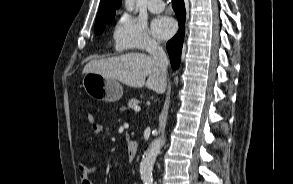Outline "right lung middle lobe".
I'll return each instance as SVG.
<instances>
[{
  "label": "right lung middle lobe",
  "instance_id": "obj_1",
  "mask_svg": "<svg viewBox=\"0 0 293 184\" xmlns=\"http://www.w3.org/2000/svg\"><path fill=\"white\" fill-rule=\"evenodd\" d=\"M108 23H110V22H108ZM108 23H104L102 25L95 26V34L100 35L104 31L106 24H108Z\"/></svg>",
  "mask_w": 293,
  "mask_h": 184
}]
</instances>
